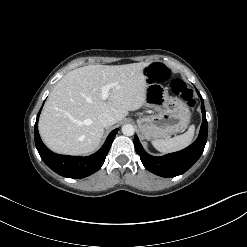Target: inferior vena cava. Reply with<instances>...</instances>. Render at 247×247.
I'll return each instance as SVG.
<instances>
[{
	"label": "inferior vena cava",
	"instance_id": "obj_1",
	"mask_svg": "<svg viewBox=\"0 0 247 247\" xmlns=\"http://www.w3.org/2000/svg\"><path fill=\"white\" fill-rule=\"evenodd\" d=\"M98 123L105 128L114 125L116 123V119L109 113H102L98 117Z\"/></svg>",
	"mask_w": 247,
	"mask_h": 247
}]
</instances>
